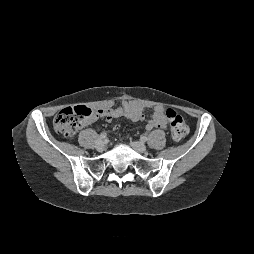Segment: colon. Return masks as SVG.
<instances>
[{
  "label": "colon",
  "mask_w": 254,
  "mask_h": 254,
  "mask_svg": "<svg viewBox=\"0 0 254 254\" xmlns=\"http://www.w3.org/2000/svg\"><path fill=\"white\" fill-rule=\"evenodd\" d=\"M164 114L170 124L173 140L184 139L189 133V127L183 116L171 107H166ZM97 117L98 112L87 106L68 107L54 117L53 126L56 132L71 138L82 125L95 120Z\"/></svg>",
  "instance_id": "5ec220e1"
}]
</instances>
